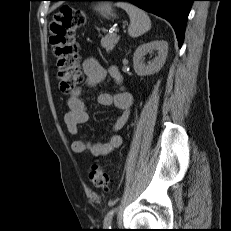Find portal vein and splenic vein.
<instances>
[{
    "label": "portal vein and splenic vein",
    "mask_w": 231,
    "mask_h": 231,
    "mask_svg": "<svg viewBox=\"0 0 231 231\" xmlns=\"http://www.w3.org/2000/svg\"><path fill=\"white\" fill-rule=\"evenodd\" d=\"M118 31H119L118 29L115 30V32H118Z\"/></svg>",
    "instance_id": "portal-vein-and-splenic-vein-1"
}]
</instances>
